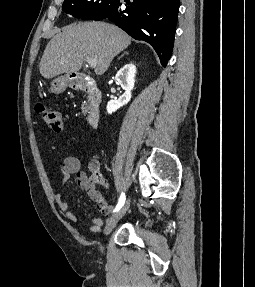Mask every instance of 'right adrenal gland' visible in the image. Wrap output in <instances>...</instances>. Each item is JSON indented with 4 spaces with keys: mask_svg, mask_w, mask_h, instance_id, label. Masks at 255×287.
Instances as JSON below:
<instances>
[{
    "mask_svg": "<svg viewBox=\"0 0 255 287\" xmlns=\"http://www.w3.org/2000/svg\"><path fill=\"white\" fill-rule=\"evenodd\" d=\"M126 54H128V52H124V54H122V56H120V58H123V56H126ZM120 58H117V60H120Z\"/></svg>",
    "mask_w": 255,
    "mask_h": 287,
    "instance_id": "2a0ac1e0",
    "label": "right adrenal gland"
}]
</instances>
